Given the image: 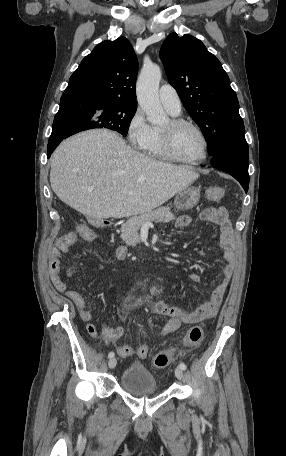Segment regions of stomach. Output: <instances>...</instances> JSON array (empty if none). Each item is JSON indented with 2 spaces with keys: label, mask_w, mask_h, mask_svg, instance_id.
<instances>
[{
  "label": "stomach",
  "mask_w": 286,
  "mask_h": 456,
  "mask_svg": "<svg viewBox=\"0 0 286 456\" xmlns=\"http://www.w3.org/2000/svg\"><path fill=\"white\" fill-rule=\"evenodd\" d=\"M200 199V189L187 187L180 191L175 199L174 205L178 210L187 211L192 209Z\"/></svg>",
  "instance_id": "obj_1"
}]
</instances>
